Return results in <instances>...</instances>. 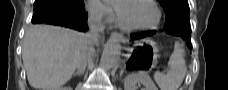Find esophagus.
Listing matches in <instances>:
<instances>
[{"label": "esophagus", "mask_w": 228, "mask_h": 90, "mask_svg": "<svg viewBox=\"0 0 228 90\" xmlns=\"http://www.w3.org/2000/svg\"><path fill=\"white\" fill-rule=\"evenodd\" d=\"M111 37L114 39H117L119 41H122V42L125 41V37L121 33H118V32H112Z\"/></svg>", "instance_id": "esophagus-1"}]
</instances>
